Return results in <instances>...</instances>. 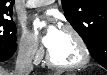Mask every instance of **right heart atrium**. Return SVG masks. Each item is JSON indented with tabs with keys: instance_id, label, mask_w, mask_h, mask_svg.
<instances>
[{
	"instance_id": "1",
	"label": "right heart atrium",
	"mask_w": 107,
	"mask_h": 75,
	"mask_svg": "<svg viewBox=\"0 0 107 75\" xmlns=\"http://www.w3.org/2000/svg\"><path fill=\"white\" fill-rule=\"evenodd\" d=\"M19 54L27 60L38 61L41 58L42 50L34 36L27 30H23L18 41Z\"/></svg>"
}]
</instances>
